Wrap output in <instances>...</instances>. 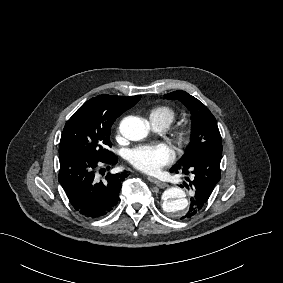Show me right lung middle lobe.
Here are the masks:
<instances>
[{
  "label": "right lung middle lobe",
  "instance_id": "right-lung-middle-lobe-1",
  "mask_svg": "<svg viewBox=\"0 0 283 283\" xmlns=\"http://www.w3.org/2000/svg\"><path fill=\"white\" fill-rule=\"evenodd\" d=\"M141 96L99 95L85 102L68 120L61 135L59 156L80 151L97 159L111 154L110 129L117 117Z\"/></svg>",
  "mask_w": 283,
  "mask_h": 283
}]
</instances>
